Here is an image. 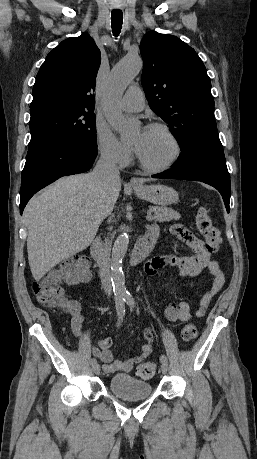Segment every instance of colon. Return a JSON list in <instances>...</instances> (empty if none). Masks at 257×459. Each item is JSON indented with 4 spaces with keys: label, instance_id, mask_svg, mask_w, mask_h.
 Returning a JSON list of instances; mask_svg holds the SVG:
<instances>
[{
    "label": "colon",
    "instance_id": "1",
    "mask_svg": "<svg viewBox=\"0 0 257 459\" xmlns=\"http://www.w3.org/2000/svg\"><path fill=\"white\" fill-rule=\"evenodd\" d=\"M196 226L203 236L206 247L209 251H217L221 244L219 230L214 226L204 206H200L196 215ZM88 259L80 256L63 261L59 266L49 271L43 278L34 281L32 290L38 302L47 307L66 309L74 313L75 308L71 301L65 296L60 283L63 280L74 282L84 280L88 277ZM198 331L194 323H187L182 330V339L186 342L197 337ZM156 371V365L152 362L141 364L137 368V374L142 379L151 378Z\"/></svg>",
    "mask_w": 257,
    "mask_h": 459
}]
</instances>
